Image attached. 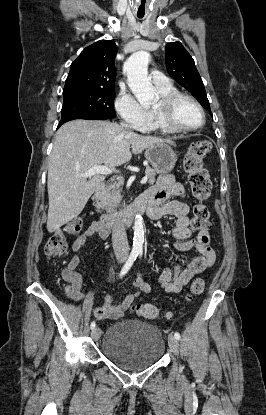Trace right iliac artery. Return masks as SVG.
Masks as SVG:
<instances>
[{
    "label": "right iliac artery",
    "mask_w": 266,
    "mask_h": 415,
    "mask_svg": "<svg viewBox=\"0 0 266 415\" xmlns=\"http://www.w3.org/2000/svg\"><path fill=\"white\" fill-rule=\"evenodd\" d=\"M137 256H138L137 251H132L131 252L128 260L126 261V263L124 264V266H123V268L120 272V275H119L120 277L124 276L129 271V269L133 265L134 261L136 260ZM95 326H96L95 322L92 321V323L90 325V328L93 330L95 328Z\"/></svg>",
    "instance_id": "82829eb1"
}]
</instances>
